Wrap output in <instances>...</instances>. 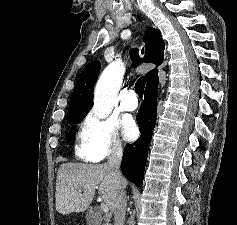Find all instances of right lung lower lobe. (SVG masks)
I'll use <instances>...</instances> for the list:
<instances>
[{
	"instance_id": "1",
	"label": "right lung lower lobe",
	"mask_w": 237,
	"mask_h": 225,
	"mask_svg": "<svg viewBox=\"0 0 237 225\" xmlns=\"http://www.w3.org/2000/svg\"><path fill=\"white\" fill-rule=\"evenodd\" d=\"M157 87L158 83L146 86L144 101L136 116L141 136L133 145L127 144L124 149L121 171L128 180L137 186L143 184L148 146L156 124Z\"/></svg>"
}]
</instances>
